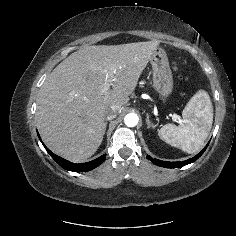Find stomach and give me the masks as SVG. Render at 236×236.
<instances>
[{"label":"stomach","instance_id":"0dacf381","mask_svg":"<svg viewBox=\"0 0 236 236\" xmlns=\"http://www.w3.org/2000/svg\"><path fill=\"white\" fill-rule=\"evenodd\" d=\"M150 63L153 70V87L163 102L173 90V75L170 69L168 57L162 48H156Z\"/></svg>","mask_w":236,"mask_h":236}]
</instances>
